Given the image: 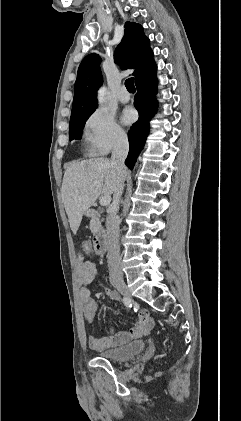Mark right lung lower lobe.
<instances>
[{"mask_svg":"<svg viewBox=\"0 0 241 421\" xmlns=\"http://www.w3.org/2000/svg\"><path fill=\"white\" fill-rule=\"evenodd\" d=\"M135 85L137 87V94L134 98V105L138 110L139 119L132 125L128 132L130 150L125 160L126 166L131 170L148 136L149 120L156 112L157 101L155 99V93L157 79L156 64L154 61L136 78Z\"/></svg>","mask_w":241,"mask_h":421,"instance_id":"98d812e1","label":"right lung lower lobe"}]
</instances>
